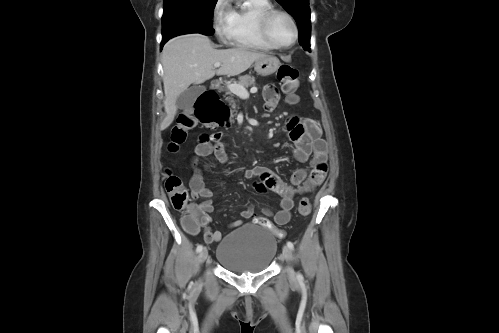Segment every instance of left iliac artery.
Listing matches in <instances>:
<instances>
[{
    "label": "left iliac artery",
    "mask_w": 499,
    "mask_h": 333,
    "mask_svg": "<svg viewBox=\"0 0 499 333\" xmlns=\"http://www.w3.org/2000/svg\"><path fill=\"white\" fill-rule=\"evenodd\" d=\"M287 246H288L291 250H293V249H294V245H293V243H292L291 241H288V242H287ZM297 279H298V280H302V279H303L302 274L298 273V274H297Z\"/></svg>",
    "instance_id": "left-iliac-artery-1"
}]
</instances>
